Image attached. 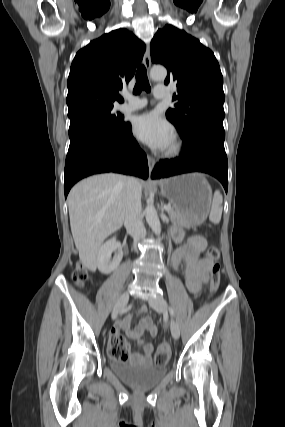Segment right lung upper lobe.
Wrapping results in <instances>:
<instances>
[{"label": "right lung upper lobe", "mask_w": 285, "mask_h": 427, "mask_svg": "<svg viewBox=\"0 0 285 427\" xmlns=\"http://www.w3.org/2000/svg\"><path fill=\"white\" fill-rule=\"evenodd\" d=\"M145 48L132 32L121 28L78 51L67 81L68 115L90 106L122 102L118 91L133 77Z\"/></svg>", "instance_id": "cb5924a9"}]
</instances>
